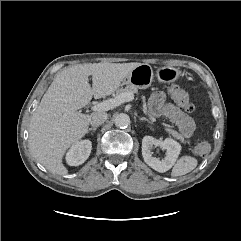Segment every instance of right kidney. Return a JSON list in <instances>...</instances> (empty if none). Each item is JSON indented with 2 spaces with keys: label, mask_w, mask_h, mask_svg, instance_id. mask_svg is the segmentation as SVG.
<instances>
[{
  "label": "right kidney",
  "mask_w": 241,
  "mask_h": 241,
  "mask_svg": "<svg viewBox=\"0 0 241 241\" xmlns=\"http://www.w3.org/2000/svg\"><path fill=\"white\" fill-rule=\"evenodd\" d=\"M92 143L90 140H81L71 146L66 154V161L70 166H78L84 163L90 156Z\"/></svg>",
  "instance_id": "obj_1"
}]
</instances>
